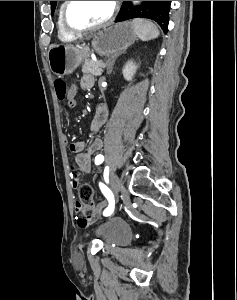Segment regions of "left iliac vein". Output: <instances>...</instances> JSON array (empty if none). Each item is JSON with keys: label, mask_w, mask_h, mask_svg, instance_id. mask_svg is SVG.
Returning <instances> with one entry per match:
<instances>
[{"label": "left iliac vein", "mask_w": 237, "mask_h": 300, "mask_svg": "<svg viewBox=\"0 0 237 300\" xmlns=\"http://www.w3.org/2000/svg\"><path fill=\"white\" fill-rule=\"evenodd\" d=\"M111 189L115 198H118L119 192L123 190L121 180L114 173L111 174Z\"/></svg>", "instance_id": "4c4485c4"}]
</instances>
